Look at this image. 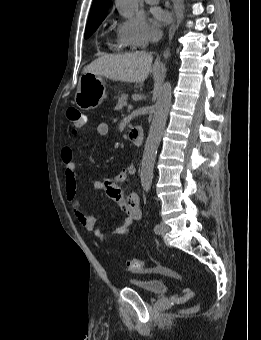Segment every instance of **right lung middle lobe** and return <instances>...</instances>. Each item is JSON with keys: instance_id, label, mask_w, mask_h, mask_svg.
I'll return each mask as SVG.
<instances>
[{"instance_id": "obj_1", "label": "right lung middle lobe", "mask_w": 261, "mask_h": 340, "mask_svg": "<svg viewBox=\"0 0 261 340\" xmlns=\"http://www.w3.org/2000/svg\"><path fill=\"white\" fill-rule=\"evenodd\" d=\"M103 20L104 18L87 24L86 30H85V39L90 37L95 32V30L99 27V25L101 24Z\"/></svg>"}]
</instances>
